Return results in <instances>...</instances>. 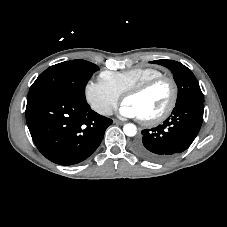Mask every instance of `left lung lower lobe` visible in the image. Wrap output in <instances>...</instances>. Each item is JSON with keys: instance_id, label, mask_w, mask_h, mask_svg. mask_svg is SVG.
I'll list each match as a JSON object with an SVG mask.
<instances>
[{"instance_id": "0a47b994", "label": "left lung lower lobe", "mask_w": 227, "mask_h": 227, "mask_svg": "<svg viewBox=\"0 0 227 227\" xmlns=\"http://www.w3.org/2000/svg\"><path fill=\"white\" fill-rule=\"evenodd\" d=\"M204 100L189 99L177 105L163 124L143 130L134 148L143 158L161 162L185 151L197 136L203 121Z\"/></svg>"}]
</instances>
